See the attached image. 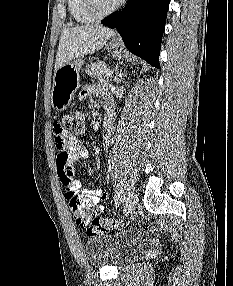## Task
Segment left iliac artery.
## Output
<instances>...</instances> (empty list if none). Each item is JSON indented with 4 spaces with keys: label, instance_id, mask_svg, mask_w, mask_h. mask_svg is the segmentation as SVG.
<instances>
[{
    "label": "left iliac artery",
    "instance_id": "obj_1",
    "mask_svg": "<svg viewBox=\"0 0 233 286\" xmlns=\"http://www.w3.org/2000/svg\"><path fill=\"white\" fill-rule=\"evenodd\" d=\"M121 198H122V191L119 190L116 194V198H115V206L118 207L120 205L121 202Z\"/></svg>",
    "mask_w": 233,
    "mask_h": 286
}]
</instances>
